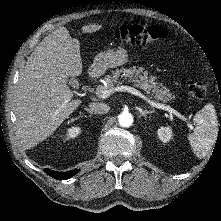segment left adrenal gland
I'll use <instances>...</instances> for the list:
<instances>
[{
    "mask_svg": "<svg viewBox=\"0 0 221 221\" xmlns=\"http://www.w3.org/2000/svg\"><path fill=\"white\" fill-rule=\"evenodd\" d=\"M154 111H148V110H143V109H139V113L143 116V117H147V114H152Z\"/></svg>",
    "mask_w": 221,
    "mask_h": 221,
    "instance_id": "a2214340",
    "label": "left adrenal gland"
}]
</instances>
